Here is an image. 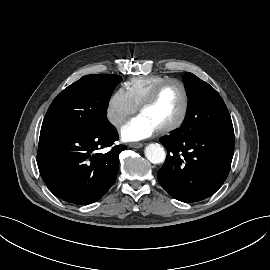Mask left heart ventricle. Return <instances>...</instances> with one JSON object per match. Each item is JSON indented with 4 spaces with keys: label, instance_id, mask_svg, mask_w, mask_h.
<instances>
[{
    "label": "left heart ventricle",
    "instance_id": "left-heart-ventricle-1",
    "mask_svg": "<svg viewBox=\"0 0 270 270\" xmlns=\"http://www.w3.org/2000/svg\"><path fill=\"white\" fill-rule=\"evenodd\" d=\"M183 108V94L176 84L166 86L159 94L156 101L141 114L146 116L156 127L160 129L175 122Z\"/></svg>",
    "mask_w": 270,
    "mask_h": 270
}]
</instances>
